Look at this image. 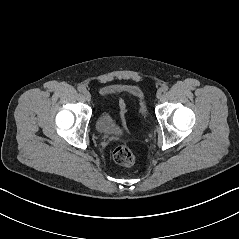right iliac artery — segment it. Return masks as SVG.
I'll return each mask as SVG.
<instances>
[{
  "label": "right iliac artery",
  "mask_w": 239,
  "mask_h": 239,
  "mask_svg": "<svg viewBox=\"0 0 239 239\" xmlns=\"http://www.w3.org/2000/svg\"><path fill=\"white\" fill-rule=\"evenodd\" d=\"M77 89H78L79 92H83L85 90V88L83 86H78Z\"/></svg>",
  "instance_id": "82829eb1"
}]
</instances>
